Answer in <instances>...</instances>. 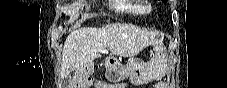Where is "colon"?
I'll return each instance as SVG.
<instances>
[{
    "label": "colon",
    "instance_id": "colon-1",
    "mask_svg": "<svg viewBox=\"0 0 227 88\" xmlns=\"http://www.w3.org/2000/svg\"><path fill=\"white\" fill-rule=\"evenodd\" d=\"M96 70V68H93V71H95ZM162 86H160V85H155V86H153V88H161Z\"/></svg>",
    "mask_w": 227,
    "mask_h": 88
}]
</instances>
